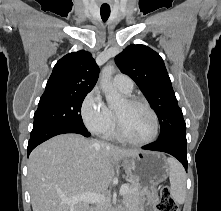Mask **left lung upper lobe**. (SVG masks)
I'll return each instance as SVG.
<instances>
[{
    "label": "left lung upper lobe",
    "mask_w": 221,
    "mask_h": 211,
    "mask_svg": "<svg viewBox=\"0 0 221 211\" xmlns=\"http://www.w3.org/2000/svg\"><path fill=\"white\" fill-rule=\"evenodd\" d=\"M115 62L122 73L130 76L156 112L161 133L159 139L186 132V124L160 55L145 45H129Z\"/></svg>",
    "instance_id": "left-lung-upper-lobe-1"
}]
</instances>
